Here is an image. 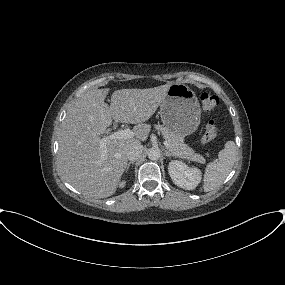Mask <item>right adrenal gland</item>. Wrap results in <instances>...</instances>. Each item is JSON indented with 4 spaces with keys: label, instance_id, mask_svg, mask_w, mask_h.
<instances>
[{
    "label": "right adrenal gland",
    "instance_id": "right-adrenal-gland-1",
    "mask_svg": "<svg viewBox=\"0 0 285 285\" xmlns=\"http://www.w3.org/2000/svg\"><path fill=\"white\" fill-rule=\"evenodd\" d=\"M134 162H135V161H130V162L127 163L126 168H125L126 172L128 171L130 165H131V164H134Z\"/></svg>",
    "mask_w": 285,
    "mask_h": 285
}]
</instances>
